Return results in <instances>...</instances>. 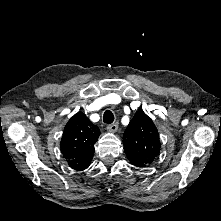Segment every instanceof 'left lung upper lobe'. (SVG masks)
<instances>
[{
    "label": "left lung upper lobe",
    "mask_w": 221,
    "mask_h": 221,
    "mask_svg": "<svg viewBox=\"0 0 221 221\" xmlns=\"http://www.w3.org/2000/svg\"><path fill=\"white\" fill-rule=\"evenodd\" d=\"M123 137L127 158L137 167L151 164L160 152L158 131L152 119L143 110L135 113Z\"/></svg>",
    "instance_id": "1"
}]
</instances>
